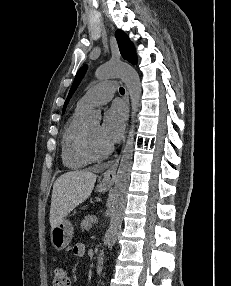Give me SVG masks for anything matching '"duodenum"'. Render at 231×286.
<instances>
[{"label": "duodenum", "mask_w": 231, "mask_h": 286, "mask_svg": "<svg viewBox=\"0 0 231 286\" xmlns=\"http://www.w3.org/2000/svg\"><path fill=\"white\" fill-rule=\"evenodd\" d=\"M103 267H104V256L103 254H99L97 257V261H96V273L100 274L103 271Z\"/></svg>", "instance_id": "410a0bca"}]
</instances>
